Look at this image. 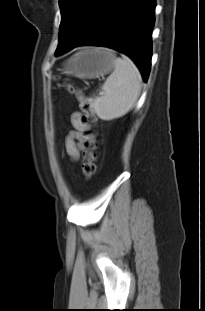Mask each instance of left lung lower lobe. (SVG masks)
<instances>
[{
  "instance_id": "obj_1",
  "label": "left lung lower lobe",
  "mask_w": 205,
  "mask_h": 311,
  "mask_svg": "<svg viewBox=\"0 0 205 311\" xmlns=\"http://www.w3.org/2000/svg\"><path fill=\"white\" fill-rule=\"evenodd\" d=\"M154 8L155 0H115L102 21L68 51L83 45L115 49L135 62L146 82L150 71ZM66 52L55 53V56Z\"/></svg>"
}]
</instances>
